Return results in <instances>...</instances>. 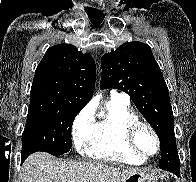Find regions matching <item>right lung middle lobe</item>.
Masks as SVG:
<instances>
[{
    "label": "right lung middle lobe",
    "instance_id": "1",
    "mask_svg": "<svg viewBox=\"0 0 196 182\" xmlns=\"http://www.w3.org/2000/svg\"><path fill=\"white\" fill-rule=\"evenodd\" d=\"M79 112L73 107L29 109L22 134V159L37 151L54 156L67 153L72 144V124Z\"/></svg>",
    "mask_w": 196,
    "mask_h": 182
}]
</instances>
